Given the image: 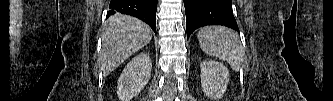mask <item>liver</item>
I'll return each mask as SVG.
<instances>
[{
    "label": "liver",
    "instance_id": "liver-1",
    "mask_svg": "<svg viewBox=\"0 0 333 101\" xmlns=\"http://www.w3.org/2000/svg\"><path fill=\"white\" fill-rule=\"evenodd\" d=\"M151 39V28L141 20L121 14L109 17L103 30L99 55V67L103 75H109Z\"/></svg>",
    "mask_w": 333,
    "mask_h": 101
}]
</instances>
